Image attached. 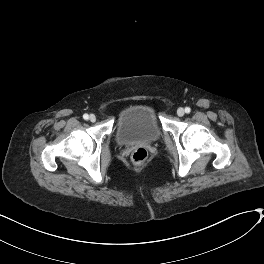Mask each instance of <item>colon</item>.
Wrapping results in <instances>:
<instances>
[{
    "mask_svg": "<svg viewBox=\"0 0 264 264\" xmlns=\"http://www.w3.org/2000/svg\"><path fill=\"white\" fill-rule=\"evenodd\" d=\"M148 157V152L145 148L143 147H139L137 148L133 155H132V159L133 162L137 165V166H141L142 164L145 163L146 159Z\"/></svg>",
    "mask_w": 264,
    "mask_h": 264,
    "instance_id": "obj_1",
    "label": "colon"
}]
</instances>
